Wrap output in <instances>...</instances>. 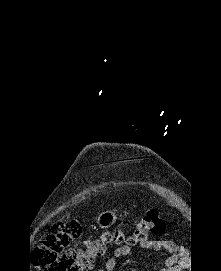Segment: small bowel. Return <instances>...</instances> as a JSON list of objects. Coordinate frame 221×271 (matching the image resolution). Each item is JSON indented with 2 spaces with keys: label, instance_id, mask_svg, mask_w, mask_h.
Segmentation results:
<instances>
[{
  "label": "small bowel",
  "instance_id": "c3829d8e",
  "mask_svg": "<svg viewBox=\"0 0 221 271\" xmlns=\"http://www.w3.org/2000/svg\"><path fill=\"white\" fill-rule=\"evenodd\" d=\"M140 246L147 250H164L170 253V257L167 259L168 268H163L161 271H178L179 268L175 266L178 261V254L176 252L175 242L168 239H143L140 241ZM131 247L128 245H123L118 247L112 256L108 257L105 262L103 269L101 271H114L117 260L121 257L128 256L131 254Z\"/></svg>",
  "mask_w": 221,
  "mask_h": 271
}]
</instances>
